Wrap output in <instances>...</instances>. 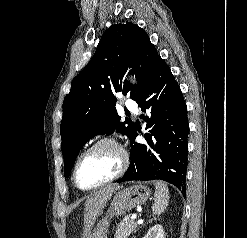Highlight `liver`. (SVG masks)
Returning a JSON list of instances; mask_svg holds the SVG:
<instances>
[{
  "instance_id": "obj_1",
  "label": "liver",
  "mask_w": 247,
  "mask_h": 238,
  "mask_svg": "<svg viewBox=\"0 0 247 238\" xmlns=\"http://www.w3.org/2000/svg\"><path fill=\"white\" fill-rule=\"evenodd\" d=\"M119 185H108L91 195L85 202L84 224L85 234L87 235L97 217L102 213L107 201L111 198L114 191L120 189Z\"/></svg>"
}]
</instances>
